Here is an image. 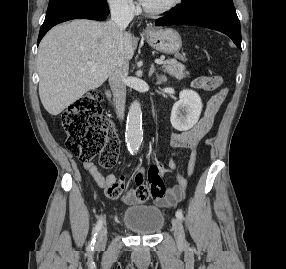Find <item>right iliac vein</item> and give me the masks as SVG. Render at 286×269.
<instances>
[{
	"instance_id": "right-iliac-vein-1",
	"label": "right iliac vein",
	"mask_w": 286,
	"mask_h": 269,
	"mask_svg": "<svg viewBox=\"0 0 286 269\" xmlns=\"http://www.w3.org/2000/svg\"><path fill=\"white\" fill-rule=\"evenodd\" d=\"M106 242H107V228L103 227L97 235V240L95 244L96 249L99 250L103 249L106 245Z\"/></svg>"
}]
</instances>
